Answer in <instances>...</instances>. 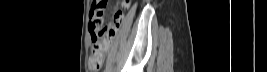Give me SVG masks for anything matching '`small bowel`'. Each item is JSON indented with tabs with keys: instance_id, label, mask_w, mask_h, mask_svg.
Segmentation results:
<instances>
[{
	"instance_id": "c3829d8e",
	"label": "small bowel",
	"mask_w": 267,
	"mask_h": 72,
	"mask_svg": "<svg viewBox=\"0 0 267 72\" xmlns=\"http://www.w3.org/2000/svg\"><path fill=\"white\" fill-rule=\"evenodd\" d=\"M128 7H129V1H123V2H121V7L116 10V12L114 14L113 22L111 24H113L114 22H116L117 26H119V24L122 21V10H125ZM111 24H109V25H111ZM91 40L94 42V39L92 38V36H91Z\"/></svg>"
}]
</instances>
